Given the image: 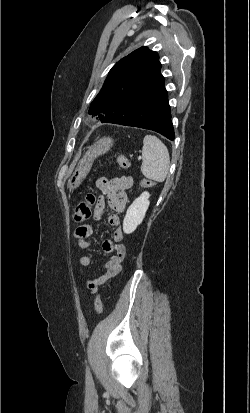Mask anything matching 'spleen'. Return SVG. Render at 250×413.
<instances>
[{
	"mask_svg": "<svg viewBox=\"0 0 250 413\" xmlns=\"http://www.w3.org/2000/svg\"><path fill=\"white\" fill-rule=\"evenodd\" d=\"M142 174L156 182H163L169 171L170 156L167 147L156 136L146 135L143 139Z\"/></svg>",
	"mask_w": 250,
	"mask_h": 413,
	"instance_id": "3e777b00",
	"label": "spleen"
}]
</instances>
